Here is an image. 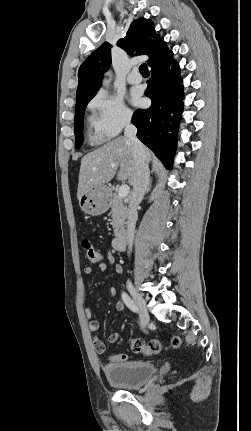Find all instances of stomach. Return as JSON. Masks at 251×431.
Returning a JSON list of instances; mask_svg holds the SVG:
<instances>
[{"mask_svg":"<svg viewBox=\"0 0 251 431\" xmlns=\"http://www.w3.org/2000/svg\"><path fill=\"white\" fill-rule=\"evenodd\" d=\"M79 206L85 214L99 216L110 207L109 189L105 185L94 187L79 199Z\"/></svg>","mask_w":251,"mask_h":431,"instance_id":"0dacf381","label":"stomach"}]
</instances>
